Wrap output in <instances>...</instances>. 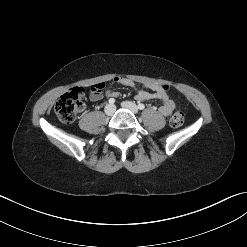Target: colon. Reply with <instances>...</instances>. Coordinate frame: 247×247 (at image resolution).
Returning a JSON list of instances; mask_svg holds the SVG:
<instances>
[{"mask_svg":"<svg viewBox=\"0 0 247 247\" xmlns=\"http://www.w3.org/2000/svg\"><path fill=\"white\" fill-rule=\"evenodd\" d=\"M106 88V83H98L91 87L92 91H102ZM83 89L74 87L64 93L56 102L54 110L59 118L64 123H72L75 121L77 114L83 108L82 102ZM184 113L181 108L176 107L171 118L170 125L173 128H178L184 123Z\"/></svg>","mask_w":247,"mask_h":247,"instance_id":"obj_1","label":"colon"}]
</instances>
